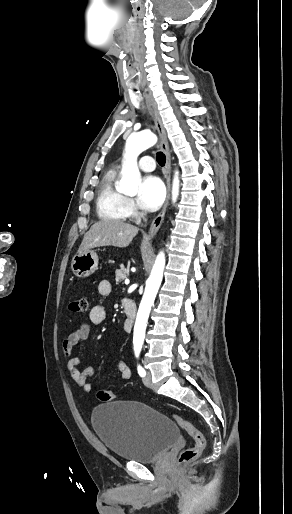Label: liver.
<instances>
[{
    "label": "liver",
    "mask_w": 292,
    "mask_h": 514,
    "mask_svg": "<svg viewBox=\"0 0 292 514\" xmlns=\"http://www.w3.org/2000/svg\"><path fill=\"white\" fill-rule=\"evenodd\" d=\"M138 230L139 228L136 226L124 224L119 220H101V222L93 224L89 232H86L78 252H86L90 248H99V246L126 248L138 234Z\"/></svg>",
    "instance_id": "1"
}]
</instances>
